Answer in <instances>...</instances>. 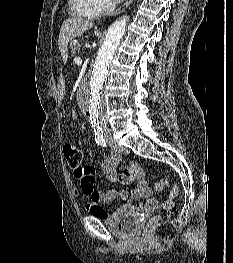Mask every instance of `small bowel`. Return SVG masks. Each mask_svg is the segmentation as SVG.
I'll list each match as a JSON object with an SVG mask.
<instances>
[{"mask_svg": "<svg viewBox=\"0 0 233 263\" xmlns=\"http://www.w3.org/2000/svg\"><path fill=\"white\" fill-rule=\"evenodd\" d=\"M122 157L117 153L107 155L101 164V173L104 178L119 186H112L106 191H101L95 186L96 170L91 165L84 166L90 170L87 174L76 175L81 180L82 192L89 197V212L97 218L107 219L109 215L102 204L110 203L117 197L123 201L122 208L132 210H144L153 212L160 208L161 204L152 197V190L149 187L143 169L131 161L126 165L121 164ZM134 184L132 188L124 185ZM77 194V191H75ZM146 200L145 204L134 205L135 202Z\"/></svg>", "mask_w": 233, "mask_h": 263, "instance_id": "c3829d8e", "label": "small bowel"}]
</instances>
